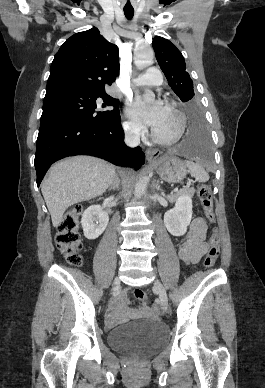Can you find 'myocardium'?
Instances as JSON below:
<instances>
[{
	"label": "myocardium",
	"mask_w": 265,
	"mask_h": 388,
	"mask_svg": "<svg viewBox=\"0 0 265 388\" xmlns=\"http://www.w3.org/2000/svg\"><path fill=\"white\" fill-rule=\"evenodd\" d=\"M166 109L175 117L176 119V130L171 135H162L160 134L155 127L152 129V137L155 141L163 145H172L177 143L183 136L186 128V116L185 114L172 105H167Z\"/></svg>",
	"instance_id": "1"
}]
</instances>
